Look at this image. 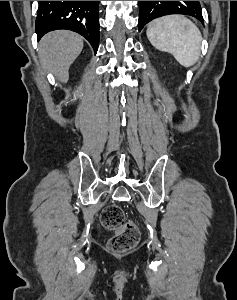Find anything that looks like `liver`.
Segmentation results:
<instances>
[{
    "label": "liver",
    "instance_id": "liver-1",
    "mask_svg": "<svg viewBox=\"0 0 237 300\" xmlns=\"http://www.w3.org/2000/svg\"><path fill=\"white\" fill-rule=\"evenodd\" d=\"M83 49V37L72 31H52L42 37L38 55L44 69L51 71L58 81L67 83L69 67Z\"/></svg>",
    "mask_w": 237,
    "mask_h": 300
}]
</instances>
